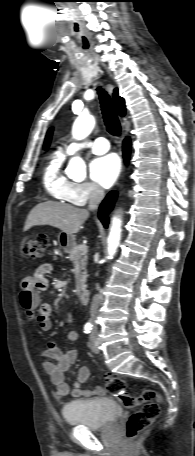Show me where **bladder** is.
<instances>
[{
  "mask_svg": "<svg viewBox=\"0 0 195 456\" xmlns=\"http://www.w3.org/2000/svg\"><path fill=\"white\" fill-rule=\"evenodd\" d=\"M122 413V407L109 398L73 401L62 409L63 418L69 425L85 426L92 430L110 428Z\"/></svg>",
  "mask_w": 195,
  "mask_h": 456,
  "instance_id": "obj_1",
  "label": "bladder"
}]
</instances>
